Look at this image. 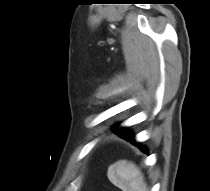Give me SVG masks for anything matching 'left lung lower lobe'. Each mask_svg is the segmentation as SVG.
Returning <instances> with one entry per match:
<instances>
[{"label": "left lung lower lobe", "instance_id": "0a47b994", "mask_svg": "<svg viewBox=\"0 0 210 191\" xmlns=\"http://www.w3.org/2000/svg\"><path fill=\"white\" fill-rule=\"evenodd\" d=\"M120 137H122L125 140L130 141L131 143L136 145L142 152L147 153V150H146V148L144 146H141L140 143H136L135 142L134 137H133V135L131 133H128V134H126L124 136H120Z\"/></svg>", "mask_w": 210, "mask_h": 191}]
</instances>
